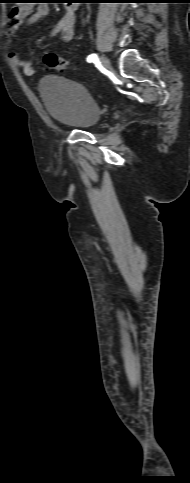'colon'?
<instances>
[{"mask_svg":"<svg viewBox=\"0 0 190 483\" xmlns=\"http://www.w3.org/2000/svg\"><path fill=\"white\" fill-rule=\"evenodd\" d=\"M43 65L51 70H65L71 67V62L57 55L54 52H47L42 57Z\"/></svg>","mask_w":190,"mask_h":483,"instance_id":"colon-1","label":"colon"}]
</instances>
